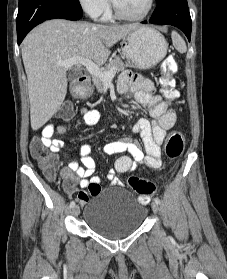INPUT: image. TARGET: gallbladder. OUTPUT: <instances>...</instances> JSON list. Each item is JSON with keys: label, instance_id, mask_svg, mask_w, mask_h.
<instances>
[{"label": "gallbladder", "instance_id": "gallbladder-1", "mask_svg": "<svg viewBox=\"0 0 227 279\" xmlns=\"http://www.w3.org/2000/svg\"><path fill=\"white\" fill-rule=\"evenodd\" d=\"M78 75L79 73L77 71H73L70 73L69 79H75Z\"/></svg>", "mask_w": 227, "mask_h": 279}]
</instances>
